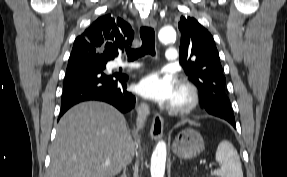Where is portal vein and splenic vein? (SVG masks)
Wrapping results in <instances>:
<instances>
[{"label":"portal vein and splenic vein","mask_w":287,"mask_h":177,"mask_svg":"<svg viewBox=\"0 0 287 177\" xmlns=\"http://www.w3.org/2000/svg\"><path fill=\"white\" fill-rule=\"evenodd\" d=\"M110 162L109 161H106V164L108 165ZM211 167V165H209Z\"/></svg>","instance_id":"portal-vein-and-splenic-vein-1"}]
</instances>
